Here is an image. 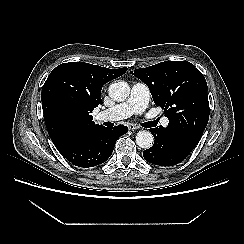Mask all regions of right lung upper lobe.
Segmentation results:
<instances>
[{"label": "right lung upper lobe", "mask_w": 244, "mask_h": 244, "mask_svg": "<svg viewBox=\"0 0 244 244\" xmlns=\"http://www.w3.org/2000/svg\"><path fill=\"white\" fill-rule=\"evenodd\" d=\"M126 71L78 62L63 63L52 70L42 88L41 101L54 145L72 134L102 127L92 121L91 115L101 104L102 86Z\"/></svg>", "instance_id": "obj_1"}]
</instances>
